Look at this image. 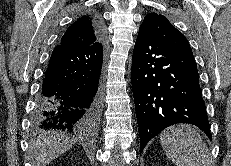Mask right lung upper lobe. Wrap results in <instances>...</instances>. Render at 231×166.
I'll list each match as a JSON object with an SVG mask.
<instances>
[{
  "label": "right lung upper lobe",
  "instance_id": "1",
  "mask_svg": "<svg viewBox=\"0 0 231 166\" xmlns=\"http://www.w3.org/2000/svg\"><path fill=\"white\" fill-rule=\"evenodd\" d=\"M104 39V30L96 17L85 15L75 21L62 36L59 45L64 46H91Z\"/></svg>",
  "mask_w": 231,
  "mask_h": 166
}]
</instances>
